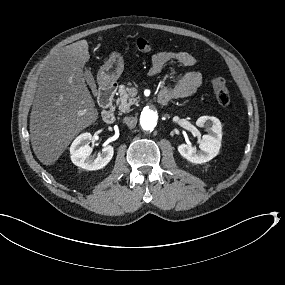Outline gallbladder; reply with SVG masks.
Instances as JSON below:
<instances>
[{
    "mask_svg": "<svg viewBox=\"0 0 285 285\" xmlns=\"http://www.w3.org/2000/svg\"><path fill=\"white\" fill-rule=\"evenodd\" d=\"M84 77H85V79H86L87 82L93 81V75H92L90 69L85 68Z\"/></svg>",
    "mask_w": 285,
    "mask_h": 285,
    "instance_id": "obj_1",
    "label": "gallbladder"
}]
</instances>
